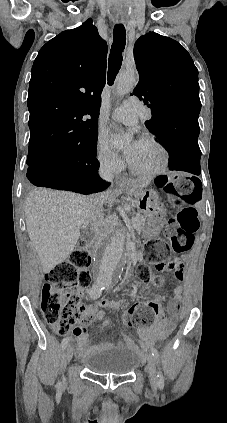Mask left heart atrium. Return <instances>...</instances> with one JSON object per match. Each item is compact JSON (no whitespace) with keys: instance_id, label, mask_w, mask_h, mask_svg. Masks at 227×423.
I'll list each match as a JSON object with an SVG mask.
<instances>
[{"instance_id":"obj_1","label":"left heart atrium","mask_w":227,"mask_h":423,"mask_svg":"<svg viewBox=\"0 0 227 423\" xmlns=\"http://www.w3.org/2000/svg\"><path fill=\"white\" fill-rule=\"evenodd\" d=\"M138 142H136L135 144H137ZM132 158H133V152L131 151V152H128L127 153V159L131 162V160H132Z\"/></svg>"}]
</instances>
